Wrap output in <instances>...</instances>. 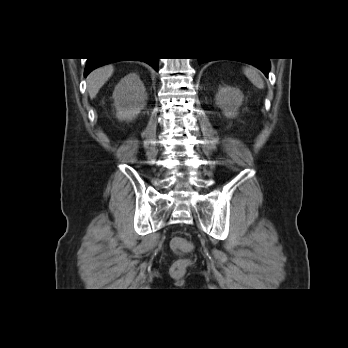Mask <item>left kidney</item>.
I'll list each match as a JSON object with an SVG mask.
<instances>
[{
    "label": "left kidney",
    "instance_id": "5707ae66",
    "mask_svg": "<svg viewBox=\"0 0 348 348\" xmlns=\"http://www.w3.org/2000/svg\"><path fill=\"white\" fill-rule=\"evenodd\" d=\"M243 94L239 89L233 87H220L215 96L216 105L222 110L227 118H233L243 103Z\"/></svg>",
    "mask_w": 348,
    "mask_h": 348
}]
</instances>
